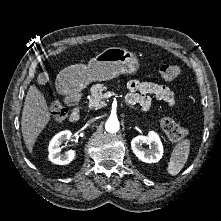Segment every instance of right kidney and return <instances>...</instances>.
I'll use <instances>...</instances> for the list:
<instances>
[{"label": "right kidney", "instance_id": "obj_1", "mask_svg": "<svg viewBox=\"0 0 221 221\" xmlns=\"http://www.w3.org/2000/svg\"><path fill=\"white\" fill-rule=\"evenodd\" d=\"M71 137L72 133L69 130H65L59 132L51 139L48 147V158L52 163L58 165H66L69 164L72 160H74L76 156L74 150H69L65 154L60 153V145L63 143V141L70 140Z\"/></svg>", "mask_w": 221, "mask_h": 221}]
</instances>
